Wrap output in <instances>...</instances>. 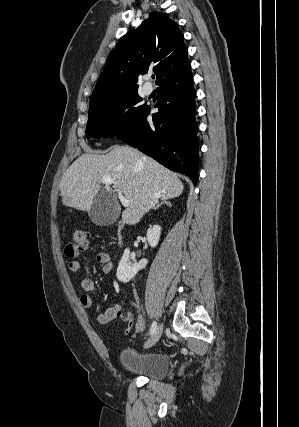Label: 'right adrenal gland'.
<instances>
[{"label":"right adrenal gland","instance_id":"1","mask_svg":"<svg viewBox=\"0 0 299 427\" xmlns=\"http://www.w3.org/2000/svg\"><path fill=\"white\" fill-rule=\"evenodd\" d=\"M163 204H166V205H168V206H171L170 201L163 200V201H161V202L157 203V204H156V206H154V207H153V209H158V208H159L160 206H162Z\"/></svg>","mask_w":299,"mask_h":427}]
</instances>
